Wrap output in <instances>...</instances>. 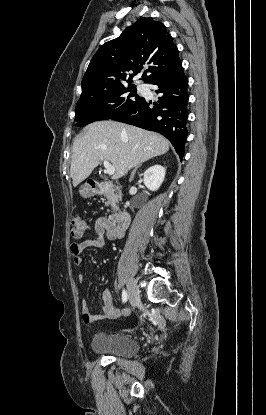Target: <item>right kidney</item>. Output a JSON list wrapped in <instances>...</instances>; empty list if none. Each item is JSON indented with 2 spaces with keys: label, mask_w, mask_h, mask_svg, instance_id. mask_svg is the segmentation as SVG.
<instances>
[{
  "label": "right kidney",
  "mask_w": 266,
  "mask_h": 415,
  "mask_svg": "<svg viewBox=\"0 0 266 415\" xmlns=\"http://www.w3.org/2000/svg\"><path fill=\"white\" fill-rule=\"evenodd\" d=\"M166 169L161 165H154L144 172V185L151 191H156L165 178Z\"/></svg>",
  "instance_id": "ca27d5eb"
}]
</instances>
